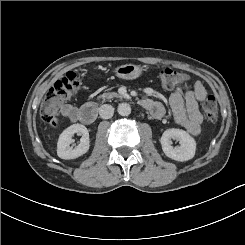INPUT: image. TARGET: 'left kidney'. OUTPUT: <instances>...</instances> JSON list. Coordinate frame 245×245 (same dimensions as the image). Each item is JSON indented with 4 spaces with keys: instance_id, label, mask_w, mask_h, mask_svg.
<instances>
[{
    "instance_id": "1",
    "label": "left kidney",
    "mask_w": 245,
    "mask_h": 245,
    "mask_svg": "<svg viewBox=\"0 0 245 245\" xmlns=\"http://www.w3.org/2000/svg\"><path fill=\"white\" fill-rule=\"evenodd\" d=\"M179 141V145L175 148L171 146L172 139ZM160 143L164 154L173 160L183 162L192 159L196 152V141L195 139L186 131L171 128L167 129L161 139Z\"/></svg>"
}]
</instances>
